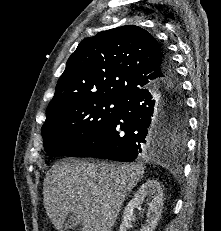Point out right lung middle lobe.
Returning a JSON list of instances; mask_svg holds the SVG:
<instances>
[{"label": "right lung middle lobe", "mask_w": 221, "mask_h": 231, "mask_svg": "<svg viewBox=\"0 0 221 231\" xmlns=\"http://www.w3.org/2000/svg\"><path fill=\"white\" fill-rule=\"evenodd\" d=\"M125 99L90 96L72 101L48 116L42 126L45 151L64 155L101 129L121 108ZM165 131L173 144L184 147L188 116L185 102L168 104L162 116Z\"/></svg>", "instance_id": "right-lung-middle-lobe-1"}]
</instances>
